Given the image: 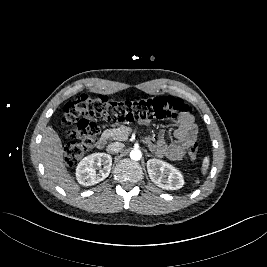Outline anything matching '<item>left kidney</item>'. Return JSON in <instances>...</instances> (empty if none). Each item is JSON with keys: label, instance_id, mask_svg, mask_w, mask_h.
<instances>
[{"label": "left kidney", "instance_id": "left-kidney-1", "mask_svg": "<svg viewBox=\"0 0 267 267\" xmlns=\"http://www.w3.org/2000/svg\"><path fill=\"white\" fill-rule=\"evenodd\" d=\"M149 177L158 187L165 190H178L183 187L182 173L171 164L159 159L147 161Z\"/></svg>", "mask_w": 267, "mask_h": 267}]
</instances>
